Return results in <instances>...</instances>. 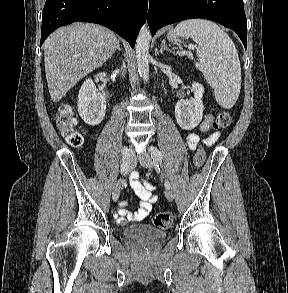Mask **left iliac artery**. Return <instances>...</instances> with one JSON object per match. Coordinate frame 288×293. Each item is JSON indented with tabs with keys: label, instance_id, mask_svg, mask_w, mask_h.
Segmentation results:
<instances>
[{
	"label": "left iliac artery",
	"instance_id": "obj_1",
	"mask_svg": "<svg viewBox=\"0 0 288 293\" xmlns=\"http://www.w3.org/2000/svg\"><path fill=\"white\" fill-rule=\"evenodd\" d=\"M150 154H151V157L153 158V162L157 164L162 162L161 152L157 148L151 147ZM165 188L170 189V183L167 180L165 181Z\"/></svg>",
	"mask_w": 288,
	"mask_h": 293
}]
</instances>
